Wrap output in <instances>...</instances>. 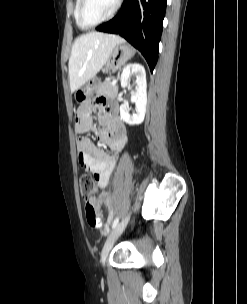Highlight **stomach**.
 Segmentation results:
<instances>
[{
    "label": "stomach",
    "mask_w": 247,
    "mask_h": 304,
    "mask_svg": "<svg viewBox=\"0 0 247 304\" xmlns=\"http://www.w3.org/2000/svg\"><path fill=\"white\" fill-rule=\"evenodd\" d=\"M133 55L134 49L131 46L127 45L126 43L117 44L106 63V69L111 71L118 70ZM95 88L96 86L94 84H86L77 89L74 95L76 102L80 104L83 103L92 95Z\"/></svg>",
    "instance_id": "0dacf381"
}]
</instances>
